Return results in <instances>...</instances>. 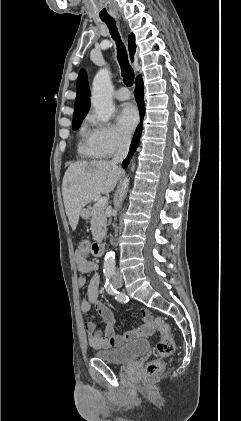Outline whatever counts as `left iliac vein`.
Masks as SVG:
<instances>
[{
  "mask_svg": "<svg viewBox=\"0 0 241 421\" xmlns=\"http://www.w3.org/2000/svg\"><path fill=\"white\" fill-rule=\"evenodd\" d=\"M114 285L115 287L120 288L122 286V279L121 278L116 279L114 281Z\"/></svg>",
  "mask_w": 241,
  "mask_h": 421,
  "instance_id": "left-iliac-vein-1",
  "label": "left iliac vein"
}]
</instances>
